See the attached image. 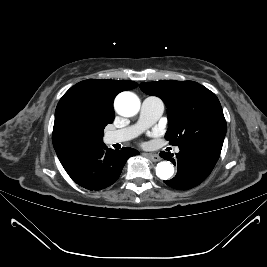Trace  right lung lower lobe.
Instances as JSON below:
<instances>
[{"instance_id": "right-lung-lower-lobe-1", "label": "right lung lower lobe", "mask_w": 267, "mask_h": 267, "mask_svg": "<svg viewBox=\"0 0 267 267\" xmlns=\"http://www.w3.org/2000/svg\"><path fill=\"white\" fill-rule=\"evenodd\" d=\"M138 154L132 148L107 149L102 142L78 150L61 163L78 185L88 190H101L119 178L129 157Z\"/></svg>"}]
</instances>
